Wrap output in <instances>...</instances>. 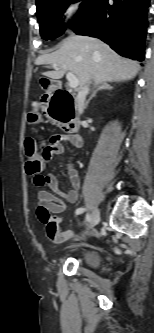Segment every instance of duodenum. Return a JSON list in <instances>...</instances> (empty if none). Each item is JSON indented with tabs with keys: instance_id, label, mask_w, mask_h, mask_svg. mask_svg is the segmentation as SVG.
I'll list each match as a JSON object with an SVG mask.
<instances>
[{
	"instance_id": "obj_1",
	"label": "duodenum",
	"mask_w": 154,
	"mask_h": 333,
	"mask_svg": "<svg viewBox=\"0 0 154 333\" xmlns=\"http://www.w3.org/2000/svg\"><path fill=\"white\" fill-rule=\"evenodd\" d=\"M61 91L67 92L62 89V86L58 82H52L49 84V95L55 97V95ZM69 93V92H68ZM50 114L55 119L65 118L69 121L70 134H77L78 132V120L74 117V97L69 93V101L66 105L58 103V107L50 109Z\"/></svg>"
}]
</instances>
